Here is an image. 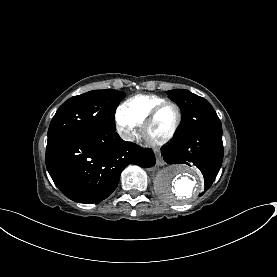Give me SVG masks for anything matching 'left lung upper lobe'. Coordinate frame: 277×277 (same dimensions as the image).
Returning <instances> with one entry per match:
<instances>
[{"label":"left lung upper lobe","instance_id":"obj_1","mask_svg":"<svg viewBox=\"0 0 277 277\" xmlns=\"http://www.w3.org/2000/svg\"><path fill=\"white\" fill-rule=\"evenodd\" d=\"M180 107L183 123L179 135L189 134L207 127H222L213 107L202 97L185 89L167 92Z\"/></svg>","mask_w":277,"mask_h":277}]
</instances>
